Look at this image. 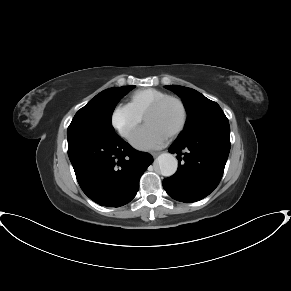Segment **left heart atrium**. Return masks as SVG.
I'll list each match as a JSON object with an SVG mask.
<instances>
[{"instance_id": "left-heart-atrium-1", "label": "left heart atrium", "mask_w": 291, "mask_h": 291, "mask_svg": "<svg viewBox=\"0 0 291 291\" xmlns=\"http://www.w3.org/2000/svg\"><path fill=\"white\" fill-rule=\"evenodd\" d=\"M167 140V134L149 124H145L135 132L131 142L138 149L149 150L162 146Z\"/></svg>"}]
</instances>
